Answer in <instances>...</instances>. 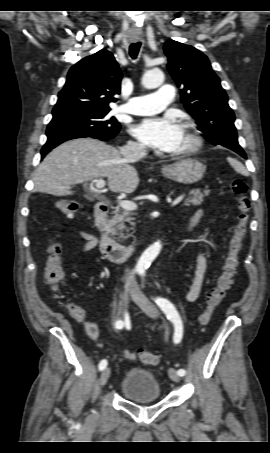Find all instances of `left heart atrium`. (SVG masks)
Returning a JSON list of instances; mask_svg holds the SVG:
<instances>
[{
    "label": "left heart atrium",
    "mask_w": 270,
    "mask_h": 453,
    "mask_svg": "<svg viewBox=\"0 0 270 453\" xmlns=\"http://www.w3.org/2000/svg\"><path fill=\"white\" fill-rule=\"evenodd\" d=\"M131 132L148 147L170 151L178 139L180 126L171 116L152 117L134 124Z\"/></svg>",
    "instance_id": "1"
}]
</instances>
